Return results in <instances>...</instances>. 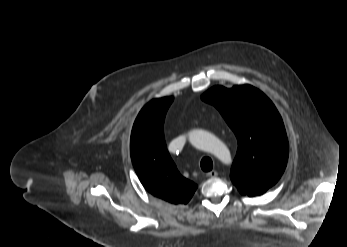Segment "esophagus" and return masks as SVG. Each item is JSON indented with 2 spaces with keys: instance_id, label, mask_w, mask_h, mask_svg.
Wrapping results in <instances>:
<instances>
[{
  "instance_id": "1",
  "label": "esophagus",
  "mask_w": 347,
  "mask_h": 247,
  "mask_svg": "<svg viewBox=\"0 0 347 247\" xmlns=\"http://www.w3.org/2000/svg\"><path fill=\"white\" fill-rule=\"evenodd\" d=\"M218 175L217 171L212 170L206 174L207 177H216Z\"/></svg>"
}]
</instances>
